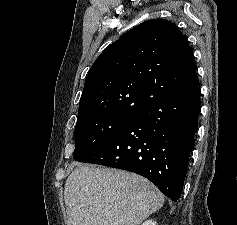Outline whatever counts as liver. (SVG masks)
I'll return each instance as SVG.
<instances>
[{
    "mask_svg": "<svg viewBox=\"0 0 237 225\" xmlns=\"http://www.w3.org/2000/svg\"><path fill=\"white\" fill-rule=\"evenodd\" d=\"M64 200L68 225H140L163 206L164 195L135 173L78 164Z\"/></svg>",
    "mask_w": 237,
    "mask_h": 225,
    "instance_id": "1",
    "label": "liver"
}]
</instances>
